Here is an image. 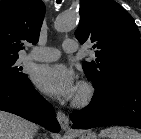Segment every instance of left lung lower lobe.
<instances>
[{
    "label": "left lung lower lobe",
    "mask_w": 141,
    "mask_h": 139,
    "mask_svg": "<svg viewBox=\"0 0 141 139\" xmlns=\"http://www.w3.org/2000/svg\"><path fill=\"white\" fill-rule=\"evenodd\" d=\"M95 90L91 103L70 115L73 128L125 125L141 129V80L115 79Z\"/></svg>",
    "instance_id": "left-lung-lower-lobe-1"
}]
</instances>
